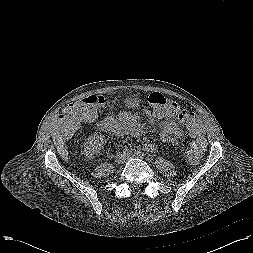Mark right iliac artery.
<instances>
[{
  "label": "right iliac artery",
  "mask_w": 253,
  "mask_h": 253,
  "mask_svg": "<svg viewBox=\"0 0 253 253\" xmlns=\"http://www.w3.org/2000/svg\"><path fill=\"white\" fill-rule=\"evenodd\" d=\"M123 154H124L125 156H128V155L131 154V151H130L129 149H126V150L123 151Z\"/></svg>",
  "instance_id": "82829eb1"
}]
</instances>
